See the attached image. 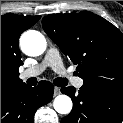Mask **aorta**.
Returning <instances> with one entry per match:
<instances>
[{
  "label": "aorta",
  "mask_w": 123,
  "mask_h": 123,
  "mask_svg": "<svg viewBox=\"0 0 123 123\" xmlns=\"http://www.w3.org/2000/svg\"><path fill=\"white\" fill-rule=\"evenodd\" d=\"M22 51L29 56L42 55L47 46L45 37L38 31L25 32L20 39ZM54 109L60 114H68L72 110V100L67 95H58L54 100Z\"/></svg>",
  "instance_id": "obj_1"
}]
</instances>
